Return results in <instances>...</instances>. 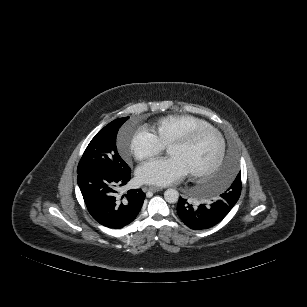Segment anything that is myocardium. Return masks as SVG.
<instances>
[{
	"label": "myocardium",
	"mask_w": 307,
	"mask_h": 307,
	"mask_svg": "<svg viewBox=\"0 0 307 307\" xmlns=\"http://www.w3.org/2000/svg\"><path fill=\"white\" fill-rule=\"evenodd\" d=\"M204 133H211L217 137L218 142H219V149H218L217 157L211 166L205 169H202V170L189 171L190 174L195 177H203V176L210 175L214 173L215 171H217L219 167L221 166V164L223 163V160L226 154V141H225L223 134L217 128L213 126L198 127V128L192 129L182 134L181 136L177 137L176 139H174L172 142H170L167 145L168 150L172 146H189Z\"/></svg>",
	"instance_id": "1"
}]
</instances>
